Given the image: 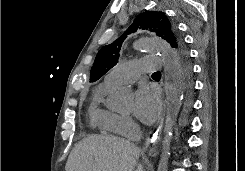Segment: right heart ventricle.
<instances>
[{
	"label": "right heart ventricle",
	"mask_w": 245,
	"mask_h": 171,
	"mask_svg": "<svg viewBox=\"0 0 245 171\" xmlns=\"http://www.w3.org/2000/svg\"><path fill=\"white\" fill-rule=\"evenodd\" d=\"M111 87L103 82L95 88L89 106V121L93 128L104 132L116 133L113 130V121L117 114L102 105L103 98Z\"/></svg>",
	"instance_id": "e07e8e85"
}]
</instances>
